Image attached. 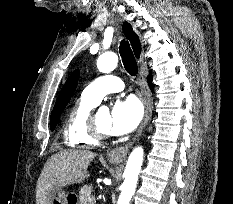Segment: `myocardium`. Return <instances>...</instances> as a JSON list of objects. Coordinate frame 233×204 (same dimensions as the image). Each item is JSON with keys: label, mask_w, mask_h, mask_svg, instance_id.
Listing matches in <instances>:
<instances>
[{"label": "myocardium", "mask_w": 233, "mask_h": 204, "mask_svg": "<svg viewBox=\"0 0 233 204\" xmlns=\"http://www.w3.org/2000/svg\"><path fill=\"white\" fill-rule=\"evenodd\" d=\"M89 123H90V131L95 138H97L98 140H105L110 137V134L108 132H104L98 127L95 118L93 116H90Z\"/></svg>", "instance_id": "obj_1"}]
</instances>
